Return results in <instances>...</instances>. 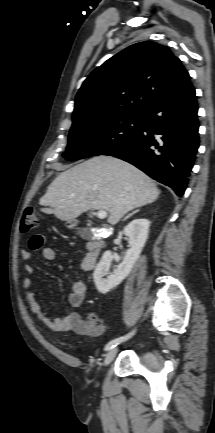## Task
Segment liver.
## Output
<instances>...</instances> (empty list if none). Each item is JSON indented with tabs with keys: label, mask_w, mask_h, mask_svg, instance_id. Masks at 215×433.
I'll list each match as a JSON object with an SVG mask.
<instances>
[{
	"label": "liver",
	"mask_w": 215,
	"mask_h": 433,
	"mask_svg": "<svg viewBox=\"0 0 215 433\" xmlns=\"http://www.w3.org/2000/svg\"><path fill=\"white\" fill-rule=\"evenodd\" d=\"M160 194L154 182L133 165L100 155L62 173L40 199L45 214L74 220L89 210L107 211L115 225L129 211L154 202Z\"/></svg>",
	"instance_id": "1"
}]
</instances>
